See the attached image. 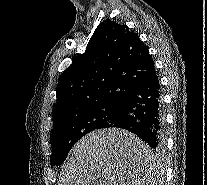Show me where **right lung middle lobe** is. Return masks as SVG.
<instances>
[{
    "label": "right lung middle lobe",
    "instance_id": "obj_1",
    "mask_svg": "<svg viewBox=\"0 0 207 185\" xmlns=\"http://www.w3.org/2000/svg\"><path fill=\"white\" fill-rule=\"evenodd\" d=\"M118 103H110L70 116L53 127L51 165L62 164L73 145L87 133L116 121Z\"/></svg>",
    "mask_w": 207,
    "mask_h": 185
}]
</instances>
